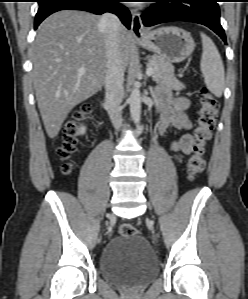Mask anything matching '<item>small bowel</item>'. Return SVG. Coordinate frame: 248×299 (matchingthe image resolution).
Here are the masks:
<instances>
[{
    "mask_svg": "<svg viewBox=\"0 0 248 299\" xmlns=\"http://www.w3.org/2000/svg\"><path fill=\"white\" fill-rule=\"evenodd\" d=\"M156 94L161 109L159 131L164 132L169 126L189 130L191 123L185 113L189 107V100L181 96L175 97L172 90L166 86H158ZM193 142V135L187 132L178 140H174L170 147L176 155L189 154L193 149Z\"/></svg>",
    "mask_w": 248,
    "mask_h": 299,
    "instance_id": "c3829d8e",
    "label": "small bowel"
}]
</instances>
